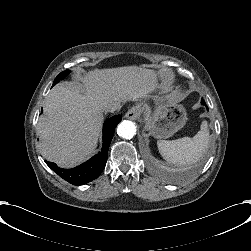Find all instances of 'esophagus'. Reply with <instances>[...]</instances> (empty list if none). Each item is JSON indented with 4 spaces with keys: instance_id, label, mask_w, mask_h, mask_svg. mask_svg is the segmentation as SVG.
<instances>
[{
    "instance_id": "esophagus-1",
    "label": "esophagus",
    "mask_w": 251,
    "mask_h": 251,
    "mask_svg": "<svg viewBox=\"0 0 251 251\" xmlns=\"http://www.w3.org/2000/svg\"><path fill=\"white\" fill-rule=\"evenodd\" d=\"M140 116V108L138 106H134L130 108L127 113L125 114V117L131 120H136Z\"/></svg>"
}]
</instances>
